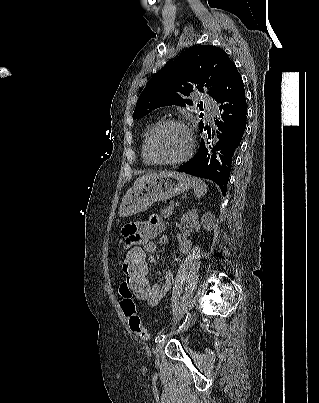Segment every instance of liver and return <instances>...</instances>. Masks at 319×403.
Returning a JSON list of instances; mask_svg holds the SVG:
<instances>
[{"instance_id":"6515ba94","label":"liver","mask_w":319,"mask_h":403,"mask_svg":"<svg viewBox=\"0 0 319 403\" xmlns=\"http://www.w3.org/2000/svg\"><path fill=\"white\" fill-rule=\"evenodd\" d=\"M154 175H155V174H147V175H144V176H142V177H139V178H137L136 181L134 182V185H136V184H138V183L144 181L145 179H147V178H149V177H151V176H154Z\"/></svg>"}]
</instances>
